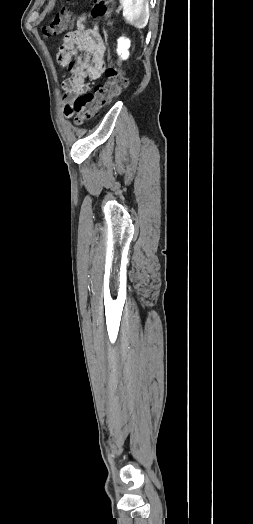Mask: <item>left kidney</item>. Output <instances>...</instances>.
Here are the masks:
<instances>
[{
    "label": "left kidney",
    "instance_id": "1",
    "mask_svg": "<svg viewBox=\"0 0 253 524\" xmlns=\"http://www.w3.org/2000/svg\"><path fill=\"white\" fill-rule=\"evenodd\" d=\"M130 40L124 37L118 39L117 53L125 60L129 57Z\"/></svg>",
    "mask_w": 253,
    "mask_h": 524
}]
</instances>
